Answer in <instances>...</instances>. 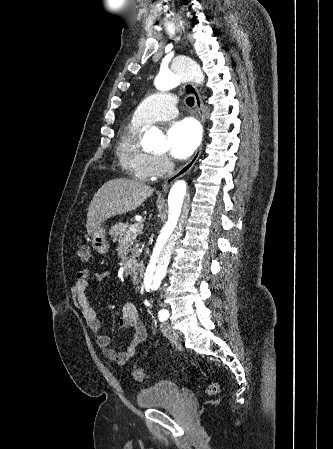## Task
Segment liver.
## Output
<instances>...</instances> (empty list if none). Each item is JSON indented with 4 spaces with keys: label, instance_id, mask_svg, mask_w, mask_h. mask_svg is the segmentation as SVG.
Returning <instances> with one entry per match:
<instances>
[{
    "label": "liver",
    "instance_id": "liver-1",
    "mask_svg": "<svg viewBox=\"0 0 333 449\" xmlns=\"http://www.w3.org/2000/svg\"><path fill=\"white\" fill-rule=\"evenodd\" d=\"M153 192V188L136 180L116 178L106 182L89 205L87 233L91 235L112 216L139 208Z\"/></svg>",
    "mask_w": 333,
    "mask_h": 449
}]
</instances>
